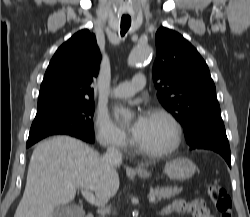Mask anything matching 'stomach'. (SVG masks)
Returning a JSON list of instances; mask_svg holds the SVG:
<instances>
[{
    "label": "stomach",
    "instance_id": "1",
    "mask_svg": "<svg viewBox=\"0 0 250 217\" xmlns=\"http://www.w3.org/2000/svg\"><path fill=\"white\" fill-rule=\"evenodd\" d=\"M195 171V164L187 158H178L168 162L164 167V173L173 180H187L194 175ZM139 176L148 178L150 173H139Z\"/></svg>",
    "mask_w": 250,
    "mask_h": 217
}]
</instances>
